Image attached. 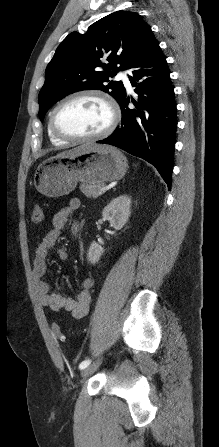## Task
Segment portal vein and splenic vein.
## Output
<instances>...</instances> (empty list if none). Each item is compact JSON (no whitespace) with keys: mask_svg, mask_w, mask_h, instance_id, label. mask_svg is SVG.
I'll return each instance as SVG.
<instances>
[{"mask_svg":"<svg viewBox=\"0 0 219 447\" xmlns=\"http://www.w3.org/2000/svg\"><path fill=\"white\" fill-rule=\"evenodd\" d=\"M106 190V187H102L100 190H99V192H103V191H105Z\"/></svg>","mask_w":219,"mask_h":447,"instance_id":"obj_1","label":"portal vein and splenic vein"}]
</instances>
